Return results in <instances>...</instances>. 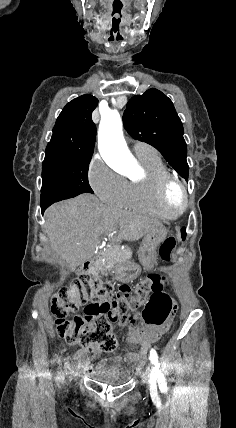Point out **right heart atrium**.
Returning a JSON list of instances; mask_svg holds the SVG:
<instances>
[{"label": "right heart atrium", "mask_w": 236, "mask_h": 428, "mask_svg": "<svg viewBox=\"0 0 236 428\" xmlns=\"http://www.w3.org/2000/svg\"><path fill=\"white\" fill-rule=\"evenodd\" d=\"M88 182L98 200L106 201V206H122L127 182L99 155L89 164Z\"/></svg>", "instance_id": "right-heart-atrium-1"}]
</instances>
